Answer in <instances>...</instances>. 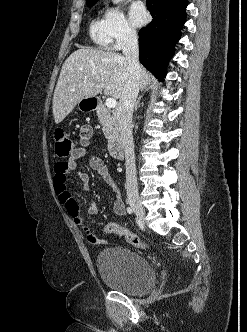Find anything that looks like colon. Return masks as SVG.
<instances>
[{
    "instance_id": "5ec220e1",
    "label": "colon",
    "mask_w": 247,
    "mask_h": 332,
    "mask_svg": "<svg viewBox=\"0 0 247 332\" xmlns=\"http://www.w3.org/2000/svg\"><path fill=\"white\" fill-rule=\"evenodd\" d=\"M54 147L56 155L60 158H68L76 150L74 140L61 129L56 130L54 133ZM104 230L107 233H113L122 236L129 244L135 247L142 249L149 247L148 244L142 241L138 236L116 223H108Z\"/></svg>"
}]
</instances>
